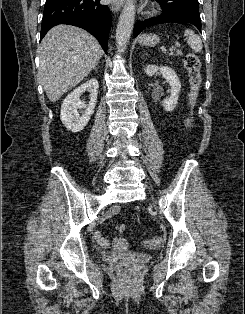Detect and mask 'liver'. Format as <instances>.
Masks as SVG:
<instances>
[{
    "label": "liver",
    "mask_w": 245,
    "mask_h": 314,
    "mask_svg": "<svg viewBox=\"0 0 245 314\" xmlns=\"http://www.w3.org/2000/svg\"><path fill=\"white\" fill-rule=\"evenodd\" d=\"M38 50L39 80L51 102L59 100L88 76L103 55L94 36L71 25L53 27Z\"/></svg>",
    "instance_id": "obj_1"
}]
</instances>
